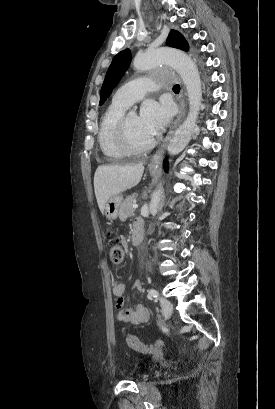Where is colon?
<instances>
[{
    "instance_id": "obj_1",
    "label": "colon",
    "mask_w": 275,
    "mask_h": 409,
    "mask_svg": "<svg viewBox=\"0 0 275 409\" xmlns=\"http://www.w3.org/2000/svg\"><path fill=\"white\" fill-rule=\"evenodd\" d=\"M107 244L110 247L111 262L115 266H119L124 259V249L121 246V235L117 232L107 230L106 232ZM126 343L128 347L135 351H142L143 357H152L153 351L157 346L150 343H141L137 338L131 334L126 335Z\"/></svg>"
}]
</instances>
